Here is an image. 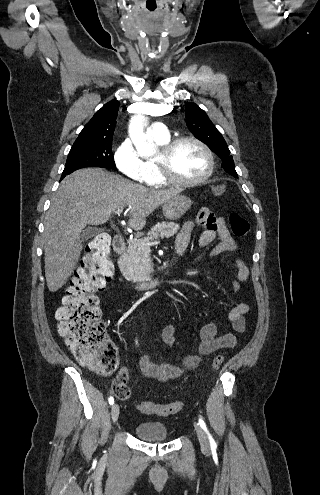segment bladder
<instances>
[{"label": "bladder", "instance_id": "bladder-1", "mask_svg": "<svg viewBox=\"0 0 320 495\" xmlns=\"http://www.w3.org/2000/svg\"><path fill=\"white\" fill-rule=\"evenodd\" d=\"M135 434L138 438L149 442H162L169 437L166 425L161 422L139 423L135 427Z\"/></svg>", "mask_w": 320, "mask_h": 495}]
</instances>
